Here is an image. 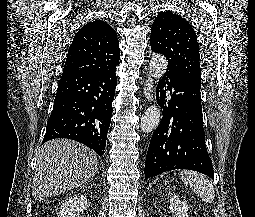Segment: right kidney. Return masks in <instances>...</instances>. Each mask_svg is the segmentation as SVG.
<instances>
[{
    "mask_svg": "<svg viewBox=\"0 0 255 217\" xmlns=\"http://www.w3.org/2000/svg\"><path fill=\"white\" fill-rule=\"evenodd\" d=\"M87 208L85 196L77 194L71 195L61 205L59 217H78Z\"/></svg>",
    "mask_w": 255,
    "mask_h": 217,
    "instance_id": "right-kidney-1",
    "label": "right kidney"
}]
</instances>
